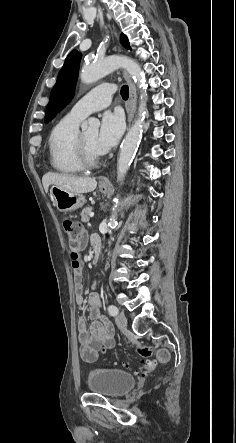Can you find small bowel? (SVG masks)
<instances>
[{
    "label": "small bowel",
    "instance_id": "1",
    "mask_svg": "<svg viewBox=\"0 0 236 443\" xmlns=\"http://www.w3.org/2000/svg\"><path fill=\"white\" fill-rule=\"evenodd\" d=\"M80 241L84 244L86 237L83 235ZM91 243L94 248L100 245V241L95 237L91 239ZM79 261L82 266L80 259ZM82 274L83 266L79 275L74 271L75 300L78 306H84L86 303L83 297ZM86 305L93 324L91 328L88 329L85 318L80 317L77 320L78 342L80 344V353L84 360L93 361L96 359L97 352L101 348L110 349L114 346L115 342L111 324L101 316L100 297L96 291H92L89 294ZM85 353L90 354L92 359L85 358Z\"/></svg>",
    "mask_w": 236,
    "mask_h": 443
}]
</instances>
